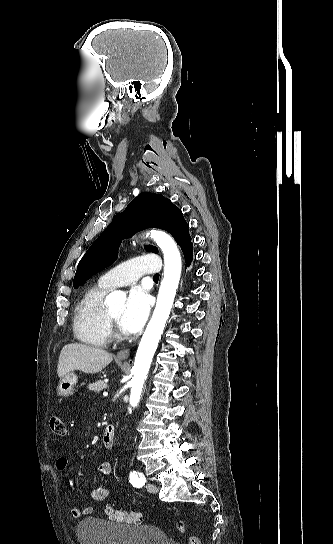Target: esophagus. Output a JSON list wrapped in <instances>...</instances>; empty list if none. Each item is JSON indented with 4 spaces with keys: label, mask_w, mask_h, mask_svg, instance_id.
<instances>
[{
    "label": "esophagus",
    "mask_w": 333,
    "mask_h": 544,
    "mask_svg": "<svg viewBox=\"0 0 333 544\" xmlns=\"http://www.w3.org/2000/svg\"><path fill=\"white\" fill-rule=\"evenodd\" d=\"M130 355V349L129 348H126V349H123V350H120L117 355H116V359L118 360H126L128 358V356Z\"/></svg>",
    "instance_id": "1"
}]
</instances>
